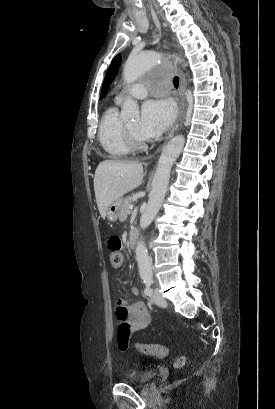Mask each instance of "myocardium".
Wrapping results in <instances>:
<instances>
[{
  "instance_id": "f54148a6",
  "label": "myocardium",
  "mask_w": 275,
  "mask_h": 409,
  "mask_svg": "<svg viewBox=\"0 0 275 409\" xmlns=\"http://www.w3.org/2000/svg\"><path fill=\"white\" fill-rule=\"evenodd\" d=\"M124 131H125V137H126V142L127 145L130 147V149L135 150V151H141L147 148L149 145V141H142L136 137V135L131 131V129L127 126V124H124Z\"/></svg>"
}]
</instances>
